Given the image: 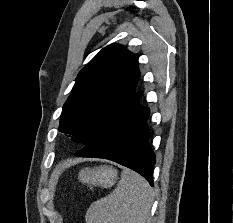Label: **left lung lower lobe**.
<instances>
[{
	"mask_svg": "<svg viewBox=\"0 0 233 223\" xmlns=\"http://www.w3.org/2000/svg\"><path fill=\"white\" fill-rule=\"evenodd\" d=\"M141 95L142 91L135 93L76 156L115 161L138 172L153 186L155 154L148 144L146 123L149 108L139 104Z\"/></svg>",
	"mask_w": 233,
	"mask_h": 223,
	"instance_id": "1",
	"label": "left lung lower lobe"
}]
</instances>
